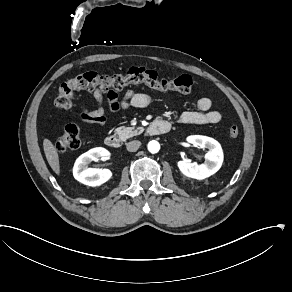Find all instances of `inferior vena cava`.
Instances as JSON below:
<instances>
[{
  "label": "inferior vena cava",
  "instance_id": "602c4592",
  "mask_svg": "<svg viewBox=\"0 0 292 292\" xmlns=\"http://www.w3.org/2000/svg\"><path fill=\"white\" fill-rule=\"evenodd\" d=\"M141 146V142L138 140L130 141L126 144V149L129 152H134L138 150V148Z\"/></svg>",
  "mask_w": 292,
  "mask_h": 292
}]
</instances>
